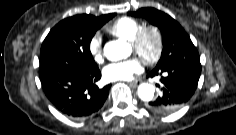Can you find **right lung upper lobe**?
<instances>
[{"instance_id":"cb5924a9","label":"right lung upper lobe","mask_w":236,"mask_h":135,"mask_svg":"<svg viewBox=\"0 0 236 135\" xmlns=\"http://www.w3.org/2000/svg\"><path fill=\"white\" fill-rule=\"evenodd\" d=\"M82 15H84V16H86V17H89V18H92V19H96V20L105 18V17L107 16V15H102V16H100V17H95V16L87 15V14H82Z\"/></svg>"}]
</instances>
